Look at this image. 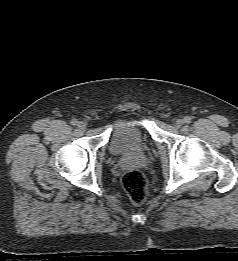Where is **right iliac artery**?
Segmentation results:
<instances>
[{"instance_id": "right-iliac-artery-1", "label": "right iliac artery", "mask_w": 238, "mask_h": 261, "mask_svg": "<svg viewBox=\"0 0 238 261\" xmlns=\"http://www.w3.org/2000/svg\"><path fill=\"white\" fill-rule=\"evenodd\" d=\"M71 124L74 125V126H77L79 124V122L76 119H72Z\"/></svg>"}]
</instances>
